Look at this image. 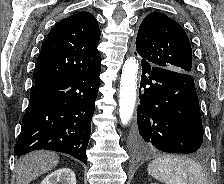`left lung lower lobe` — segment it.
Wrapping results in <instances>:
<instances>
[{"label":"left lung lower lobe","instance_id":"obj_1","mask_svg":"<svg viewBox=\"0 0 224 184\" xmlns=\"http://www.w3.org/2000/svg\"><path fill=\"white\" fill-rule=\"evenodd\" d=\"M142 68L137 148L202 152L204 131L193 76L144 63Z\"/></svg>","mask_w":224,"mask_h":184}]
</instances>
